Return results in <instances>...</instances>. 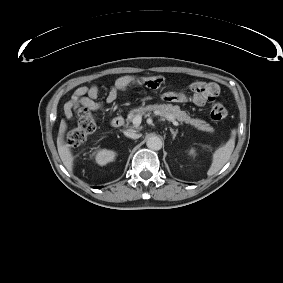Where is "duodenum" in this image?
Instances as JSON below:
<instances>
[{"instance_id":"410a0bca","label":"duodenum","mask_w":283,"mask_h":283,"mask_svg":"<svg viewBox=\"0 0 283 283\" xmlns=\"http://www.w3.org/2000/svg\"><path fill=\"white\" fill-rule=\"evenodd\" d=\"M123 124L124 118L122 116H115L110 121V125L114 129L121 127Z\"/></svg>"}]
</instances>
